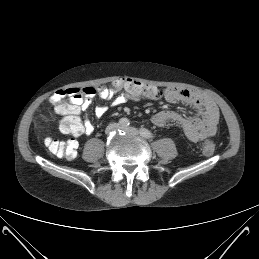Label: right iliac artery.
Instances as JSON below:
<instances>
[{
  "label": "right iliac artery",
  "mask_w": 259,
  "mask_h": 259,
  "mask_svg": "<svg viewBox=\"0 0 259 259\" xmlns=\"http://www.w3.org/2000/svg\"><path fill=\"white\" fill-rule=\"evenodd\" d=\"M119 124L122 126V127H127L129 126L130 122L127 118H121L119 120Z\"/></svg>",
  "instance_id": "1"
}]
</instances>
